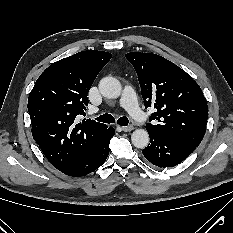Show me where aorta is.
Masks as SVG:
<instances>
[{"instance_id": "1", "label": "aorta", "mask_w": 233, "mask_h": 233, "mask_svg": "<svg viewBox=\"0 0 233 233\" xmlns=\"http://www.w3.org/2000/svg\"><path fill=\"white\" fill-rule=\"evenodd\" d=\"M101 94L110 99L118 98L122 91L119 80L114 77H104L99 82ZM132 144L137 148H145L149 143V134L145 129H136L131 135Z\"/></svg>"}]
</instances>
